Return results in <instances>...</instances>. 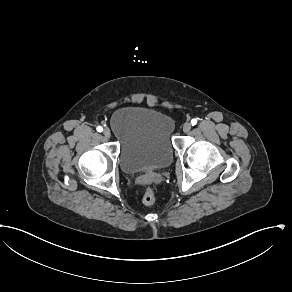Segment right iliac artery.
<instances>
[{"label":"right iliac artery","instance_id":"1","mask_svg":"<svg viewBox=\"0 0 292 292\" xmlns=\"http://www.w3.org/2000/svg\"><path fill=\"white\" fill-rule=\"evenodd\" d=\"M96 129H97L98 132H102L103 131V128L101 126H98Z\"/></svg>","mask_w":292,"mask_h":292}]
</instances>
